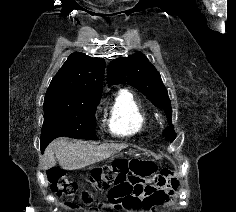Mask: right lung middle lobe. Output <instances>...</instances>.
I'll return each instance as SVG.
<instances>
[{"mask_svg":"<svg viewBox=\"0 0 236 212\" xmlns=\"http://www.w3.org/2000/svg\"><path fill=\"white\" fill-rule=\"evenodd\" d=\"M100 98L84 101H44L41 151L54 138L67 136L95 140V111Z\"/></svg>","mask_w":236,"mask_h":212,"instance_id":"obj_1","label":"right lung middle lobe"}]
</instances>
